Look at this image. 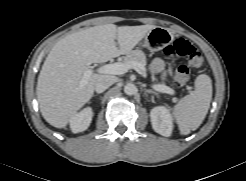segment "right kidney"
Returning a JSON list of instances; mask_svg holds the SVG:
<instances>
[{"label": "right kidney", "mask_w": 246, "mask_h": 181, "mask_svg": "<svg viewBox=\"0 0 246 181\" xmlns=\"http://www.w3.org/2000/svg\"><path fill=\"white\" fill-rule=\"evenodd\" d=\"M93 111L90 107L84 108L70 118V128L73 133L85 131L92 121Z\"/></svg>", "instance_id": "ca27d5eb"}]
</instances>
